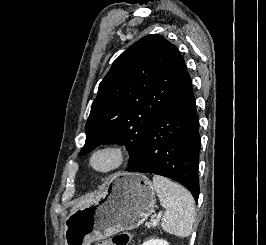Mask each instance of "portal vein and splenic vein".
<instances>
[{
	"label": "portal vein and splenic vein",
	"mask_w": 266,
	"mask_h": 245,
	"mask_svg": "<svg viewBox=\"0 0 266 245\" xmlns=\"http://www.w3.org/2000/svg\"><path fill=\"white\" fill-rule=\"evenodd\" d=\"M162 217V211H160V213H158V217H156V219H154V221H152L151 225H153V227H156L159 219H161Z\"/></svg>",
	"instance_id": "1"
}]
</instances>
